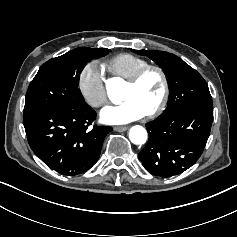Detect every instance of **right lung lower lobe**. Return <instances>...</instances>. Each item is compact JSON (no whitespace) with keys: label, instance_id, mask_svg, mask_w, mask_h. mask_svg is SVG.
Wrapping results in <instances>:
<instances>
[{"label":"right lung lower lobe","instance_id":"1","mask_svg":"<svg viewBox=\"0 0 237 237\" xmlns=\"http://www.w3.org/2000/svg\"><path fill=\"white\" fill-rule=\"evenodd\" d=\"M96 113L85 103L45 108L24 116L29 145L51 169L77 175L98 160L110 127H89Z\"/></svg>","mask_w":237,"mask_h":237}]
</instances>
